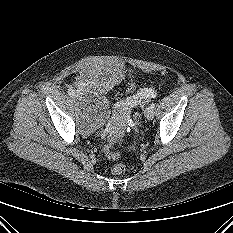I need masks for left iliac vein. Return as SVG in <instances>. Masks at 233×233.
Masks as SVG:
<instances>
[{"label": "left iliac vein", "mask_w": 233, "mask_h": 233, "mask_svg": "<svg viewBox=\"0 0 233 233\" xmlns=\"http://www.w3.org/2000/svg\"><path fill=\"white\" fill-rule=\"evenodd\" d=\"M145 117L148 120H152L154 118V109L150 108V106L145 111Z\"/></svg>", "instance_id": "left-iliac-vein-1"}]
</instances>
